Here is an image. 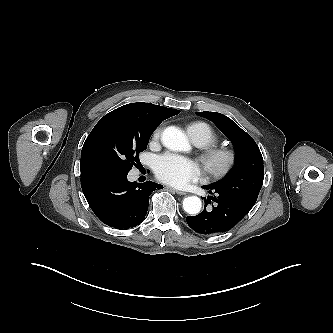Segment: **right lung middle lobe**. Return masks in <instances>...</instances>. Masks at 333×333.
Returning <instances> with one entry per match:
<instances>
[{"label": "right lung middle lobe", "mask_w": 333, "mask_h": 333, "mask_svg": "<svg viewBox=\"0 0 333 333\" xmlns=\"http://www.w3.org/2000/svg\"><path fill=\"white\" fill-rule=\"evenodd\" d=\"M159 124L107 114L87 137L80 160L81 176L98 173H128Z\"/></svg>", "instance_id": "right-lung-middle-lobe-1"}]
</instances>
